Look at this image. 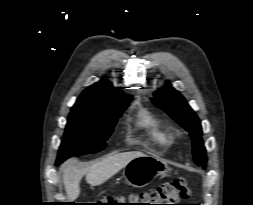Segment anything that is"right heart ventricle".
Masks as SVG:
<instances>
[{"instance_id":"e07e8e85","label":"right heart ventricle","mask_w":253,"mask_h":205,"mask_svg":"<svg viewBox=\"0 0 253 205\" xmlns=\"http://www.w3.org/2000/svg\"><path fill=\"white\" fill-rule=\"evenodd\" d=\"M137 125L146 132L154 143L161 146L170 143V135L160 126L157 118L150 112H142L139 116Z\"/></svg>"}]
</instances>
